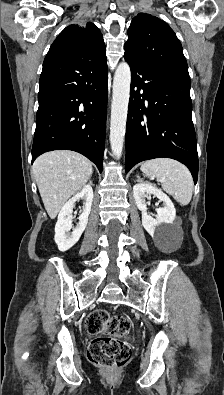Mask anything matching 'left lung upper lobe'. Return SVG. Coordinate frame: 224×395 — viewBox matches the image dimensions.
<instances>
[{"mask_svg": "<svg viewBox=\"0 0 224 395\" xmlns=\"http://www.w3.org/2000/svg\"><path fill=\"white\" fill-rule=\"evenodd\" d=\"M124 49L125 55L137 62L190 78L180 41L170 26L155 16L140 13L133 18Z\"/></svg>", "mask_w": 224, "mask_h": 395, "instance_id": "1", "label": "left lung upper lobe"}]
</instances>
